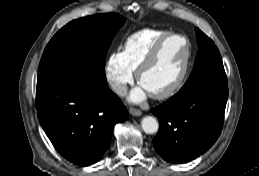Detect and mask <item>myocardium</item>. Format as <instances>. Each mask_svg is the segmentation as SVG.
I'll use <instances>...</instances> for the list:
<instances>
[{
    "label": "myocardium",
    "instance_id": "obj_1",
    "mask_svg": "<svg viewBox=\"0 0 259 176\" xmlns=\"http://www.w3.org/2000/svg\"><path fill=\"white\" fill-rule=\"evenodd\" d=\"M172 37H180L185 40L186 42V53L184 58V64L182 67V70L178 77L175 79V81L168 86L166 89L155 92V93H149V95L154 99H166L171 96H173L181 87L182 83L184 82L191 64V58H192V44L189 38L181 33L178 32H169L162 36L152 47L148 55L145 57V59L142 61L138 69L136 70V79L140 83L141 77L144 74V72L156 61L158 58L164 44Z\"/></svg>",
    "mask_w": 259,
    "mask_h": 176
}]
</instances>
